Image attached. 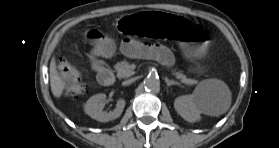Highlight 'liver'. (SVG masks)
<instances>
[{
    "instance_id": "liver-1",
    "label": "liver",
    "mask_w": 279,
    "mask_h": 148,
    "mask_svg": "<svg viewBox=\"0 0 279 148\" xmlns=\"http://www.w3.org/2000/svg\"><path fill=\"white\" fill-rule=\"evenodd\" d=\"M49 72H50L51 91L54 97L60 98L67 84L66 81L62 78V76L57 71V65L54 57L50 62Z\"/></svg>"
}]
</instances>
